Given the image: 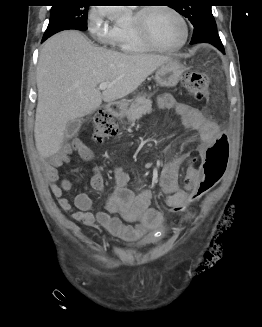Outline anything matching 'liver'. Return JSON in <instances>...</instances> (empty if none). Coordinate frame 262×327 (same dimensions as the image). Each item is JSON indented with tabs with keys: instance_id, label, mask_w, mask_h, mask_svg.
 Listing matches in <instances>:
<instances>
[{
	"instance_id": "6515ba94",
	"label": "liver",
	"mask_w": 262,
	"mask_h": 327,
	"mask_svg": "<svg viewBox=\"0 0 262 327\" xmlns=\"http://www.w3.org/2000/svg\"><path fill=\"white\" fill-rule=\"evenodd\" d=\"M168 56L126 54L96 47L78 31H63L43 45L37 65L34 137L40 156L56 154L67 124L135 91ZM100 83H111L103 90Z\"/></svg>"
}]
</instances>
